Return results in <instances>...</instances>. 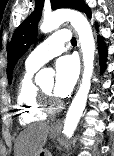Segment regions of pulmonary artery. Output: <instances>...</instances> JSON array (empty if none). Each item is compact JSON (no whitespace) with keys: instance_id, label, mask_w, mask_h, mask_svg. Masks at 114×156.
Listing matches in <instances>:
<instances>
[{"instance_id":"obj_1","label":"pulmonary artery","mask_w":114,"mask_h":156,"mask_svg":"<svg viewBox=\"0 0 114 156\" xmlns=\"http://www.w3.org/2000/svg\"><path fill=\"white\" fill-rule=\"evenodd\" d=\"M70 39V32L66 29L59 30L44 42L39 44L27 57L26 63L40 67L50 59L65 51V42Z\"/></svg>"}]
</instances>
